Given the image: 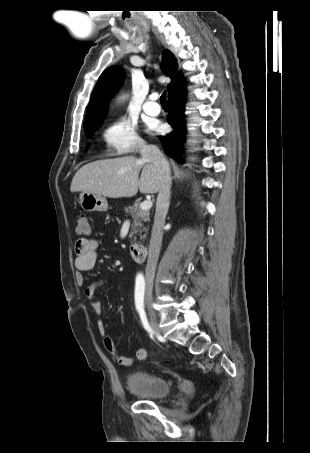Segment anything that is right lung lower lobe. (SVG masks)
<instances>
[{"label":"right lung lower lobe","mask_w":310,"mask_h":453,"mask_svg":"<svg viewBox=\"0 0 310 453\" xmlns=\"http://www.w3.org/2000/svg\"><path fill=\"white\" fill-rule=\"evenodd\" d=\"M169 114L167 122L173 127V131L164 137H159L167 155L181 162L182 142L185 136L184 121V81L181 78L168 92Z\"/></svg>","instance_id":"obj_1"}]
</instances>
